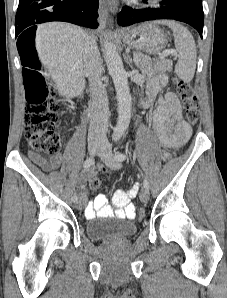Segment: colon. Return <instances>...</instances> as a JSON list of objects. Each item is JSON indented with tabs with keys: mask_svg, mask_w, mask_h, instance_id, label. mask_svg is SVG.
Instances as JSON below:
<instances>
[{
	"mask_svg": "<svg viewBox=\"0 0 227 298\" xmlns=\"http://www.w3.org/2000/svg\"><path fill=\"white\" fill-rule=\"evenodd\" d=\"M23 77L26 98L25 138L34 151L57 154L62 146L61 134L56 130L58 105L53 98V88L41 74L35 57H27ZM176 88L183 102L187 121L195 125L200 117V109L191 84L176 80ZM90 186L93 189L98 188L100 180L91 179ZM140 218H145V208H140Z\"/></svg>",
	"mask_w": 227,
	"mask_h": 298,
	"instance_id": "1",
	"label": "colon"
}]
</instances>
